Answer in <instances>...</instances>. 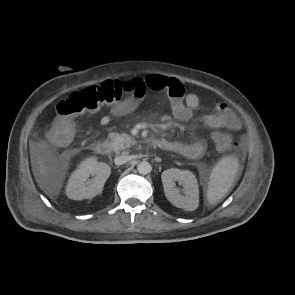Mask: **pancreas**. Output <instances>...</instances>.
<instances>
[{
	"mask_svg": "<svg viewBox=\"0 0 295 295\" xmlns=\"http://www.w3.org/2000/svg\"><path fill=\"white\" fill-rule=\"evenodd\" d=\"M108 138L111 140L112 150H114L116 153L129 148L135 143L134 139L126 133L119 134L111 132L109 133Z\"/></svg>",
	"mask_w": 295,
	"mask_h": 295,
	"instance_id": "1",
	"label": "pancreas"
}]
</instances>
